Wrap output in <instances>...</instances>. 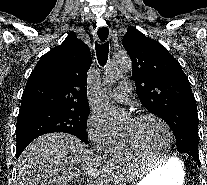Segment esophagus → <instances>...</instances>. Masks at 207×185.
Returning <instances> with one entry per match:
<instances>
[{
  "mask_svg": "<svg viewBox=\"0 0 207 185\" xmlns=\"http://www.w3.org/2000/svg\"><path fill=\"white\" fill-rule=\"evenodd\" d=\"M100 23H103V20H100ZM98 30H109V25H98ZM94 37L95 39L100 38V43H107V38L109 37L108 33H97V30H94Z\"/></svg>",
  "mask_w": 207,
  "mask_h": 185,
  "instance_id": "34e87169",
  "label": "esophagus"
}]
</instances>
